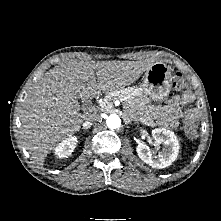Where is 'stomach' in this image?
<instances>
[{
  "instance_id": "stomach-1",
  "label": "stomach",
  "mask_w": 221,
  "mask_h": 221,
  "mask_svg": "<svg viewBox=\"0 0 221 221\" xmlns=\"http://www.w3.org/2000/svg\"><path fill=\"white\" fill-rule=\"evenodd\" d=\"M172 79L169 66L162 62L153 63L143 76L142 83L138 88L139 95L154 103H162L170 93Z\"/></svg>"
}]
</instances>
